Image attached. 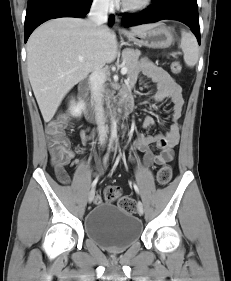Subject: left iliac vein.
I'll return each instance as SVG.
<instances>
[{
	"mask_svg": "<svg viewBox=\"0 0 231 281\" xmlns=\"http://www.w3.org/2000/svg\"><path fill=\"white\" fill-rule=\"evenodd\" d=\"M138 212L140 215H142L144 213L143 204L140 201L138 202Z\"/></svg>",
	"mask_w": 231,
	"mask_h": 281,
	"instance_id": "4c4485c4",
	"label": "left iliac vein"
}]
</instances>
